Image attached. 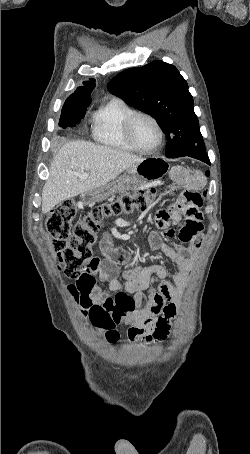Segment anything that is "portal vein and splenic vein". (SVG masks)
Returning a JSON list of instances; mask_svg holds the SVG:
<instances>
[{
	"instance_id": "obj_1",
	"label": "portal vein and splenic vein",
	"mask_w": 250,
	"mask_h": 454,
	"mask_svg": "<svg viewBox=\"0 0 250 454\" xmlns=\"http://www.w3.org/2000/svg\"><path fill=\"white\" fill-rule=\"evenodd\" d=\"M80 177L81 180H85L89 177V174L88 173H82V174H79L78 175Z\"/></svg>"
}]
</instances>
